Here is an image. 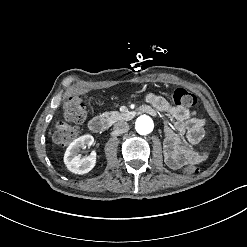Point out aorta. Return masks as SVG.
<instances>
[{
    "label": "aorta",
    "mask_w": 247,
    "mask_h": 247,
    "mask_svg": "<svg viewBox=\"0 0 247 247\" xmlns=\"http://www.w3.org/2000/svg\"><path fill=\"white\" fill-rule=\"evenodd\" d=\"M135 127L139 134L146 135L153 131L154 123H153V120L149 116L142 115L138 117V119L136 120Z\"/></svg>",
    "instance_id": "762f6f07"
}]
</instances>
